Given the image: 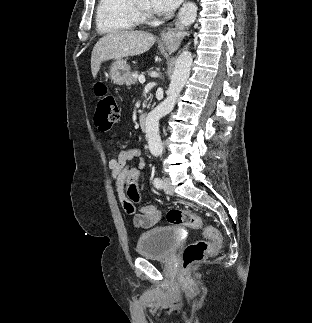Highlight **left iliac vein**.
I'll return each mask as SVG.
<instances>
[{
	"mask_svg": "<svg viewBox=\"0 0 312 323\" xmlns=\"http://www.w3.org/2000/svg\"><path fill=\"white\" fill-rule=\"evenodd\" d=\"M163 189H164V191L166 192V193H168V194H173V187H172V185H171V181H170V179L169 178H167V177H165L164 179H163Z\"/></svg>",
	"mask_w": 312,
	"mask_h": 323,
	"instance_id": "obj_1",
	"label": "left iliac vein"
}]
</instances>
